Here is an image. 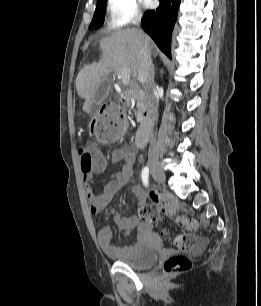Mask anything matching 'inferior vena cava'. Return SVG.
<instances>
[{"label":"inferior vena cava","instance_id":"1","mask_svg":"<svg viewBox=\"0 0 261 306\" xmlns=\"http://www.w3.org/2000/svg\"><path fill=\"white\" fill-rule=\"evenodd\" d=\"M140 18L135 19V25L139 26ZM138 79L145 91V99L154 119L158 115V97L154 83V69L151 53L147 46H143L138 54ZM152 151V149H150Z\"/></svg>","mask_w":261,"mask_h":306}]
</instances>
